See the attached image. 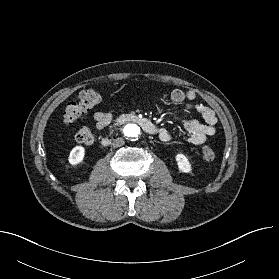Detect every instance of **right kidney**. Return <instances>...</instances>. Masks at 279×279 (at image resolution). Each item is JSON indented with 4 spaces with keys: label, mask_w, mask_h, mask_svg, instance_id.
<instances>
[{
    "label": "right kidney",
    "mask_w": 279,
    "mask_h": 279,
    "mask_svg": "<svg viewBox=\"0 0 279 279\" xmlns=\"http://www.w3.org/2000/svg\"><path fill=\"white\" fill-rule=\"evenodd\" d=\"M85 157V149L82 146H76L72 149L69 155V163L71 165L80 164Z\"/></svg>",
    "instance_id": "1"
}]
</instances>
